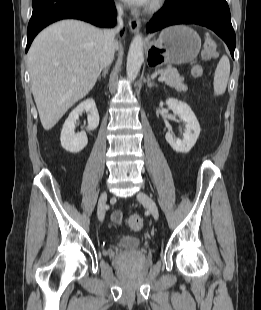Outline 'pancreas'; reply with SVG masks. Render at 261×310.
<instances>
[{
	"label": "pancreas",
	"instance_id": "pancreas-1",
	"mask_svg": "<svg viewBox=\"0 0 261 310\" xmlns=\"http://www.w3.org/2000/svg\"><path fill=\"white\" fill-rule=\"evenodd\" d=\"M161 76H165V84L175 88L179 92L187 91L188 87L184 84V77H181L178 71L172 67H167L160 72Z\"/></svg>",
	"mask_w": 261,
	"mask_h": 310
}]
</instances>
